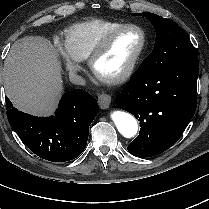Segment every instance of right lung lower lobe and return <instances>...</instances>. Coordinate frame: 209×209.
I'll use <instances>...</instances> for the list:
<instances>
[{
  "mask_svg": "<svg viewBox=\"0 0 209 209\" xmlns=\"http://www.w3.org/2000/svg\"><path fill=\"white\" fill-rule=\"evenodd\" d=\"M7 118L24 144L51 162L78 157L86 147L89 124L98 114L96 99L82 89L63 94L55 114L37 117L13 107L6 97Z\"/></svg>",
  "mask_w": 209,
  "mask_h": 209,
  "instance_id": "right-lung-lower-lobe-1",
  "label": "right lung lower lobe"
}]
</instances>
